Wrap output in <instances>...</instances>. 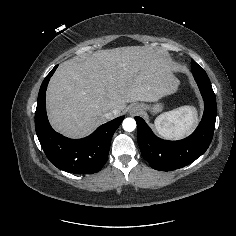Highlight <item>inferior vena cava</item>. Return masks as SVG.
I'll return each instance as SVG.
<instances>
[{
    "label": "inferior vena cava",
    "instance_id": "602c4592",
    "mask_svg": "<svg viewBox=\"0 0 236 236\" xmlns=\"http://www.w3.org/2000/svg\"><path fill=\"white\" fill-rule=\"evenodd\" d=\"M116 114H117V111L114 110V111H112V112H107V113L105 114V117H106L107 119H113Z\"/></svg>",
    "mask_w": 236,
    "mask_h": 236
}]
</instances>
